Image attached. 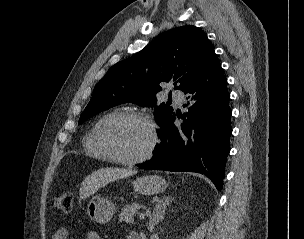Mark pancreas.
Segmentation results:
<instances>
[{"label":"pancreas","mask_w":304,"mask_h":239,"mask_svg":"<svg viewBox=\"0 0 304 239\" xmlns=\"http://www.w3.org/2000/svg\"><path fill=\"white\" fill-rule=\"evenodd\" d=\"M138 207L139 205L136 203L126 204L122 209L121 213L119 214V221L126 223H133Z\"/></svg>","instance_id":"pancreas-1"}]
</instances>
